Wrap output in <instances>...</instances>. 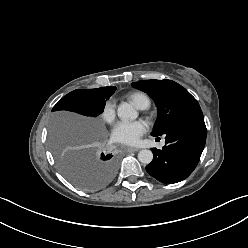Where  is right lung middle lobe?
<instances>
[{
	"mask_svg": "<svg viewBox=\"0 0 248 248\" xmlns=\"http://www.w3.org/2000/svg\"><path fill=\"white\" fill-rule=\"evenodd\" d=\"M115 90L116 87L113 86L77 89L59 100L52 111L68 110L87 117H96L103 112L106 101ZM81 134L82 132H77L74 136ZM58 138L59 134L51 136V149L58 168L72 184L86 191H96L107 186L115 177L117 160L113 155L102 153L99 159L91 160L85 150H67V141L60 143Z\"/></svg>",
	"mask_w": 248,
	"mask_h": 248,
	"instance_id": "dd1d6c3e",
	"label": "right lung middle lobe"
}]
</instances>
